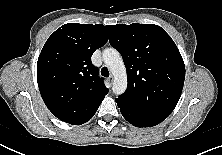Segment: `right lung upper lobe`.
<instances>
[{"label": "right lung upper lobe", "instance_id": "right-lung-upper-lobe-1", "mask_svg": "<svg viewBox=\"0 0 222 155\" xmlns=\"http://www.w3.org/2000/svg\"><path fill=\"white\" fill-rule=\"evenodd\" d=\"M107 26L68 23L46 41L37 62L41 96L54 116L70 124L93 114L108 89L93 66L94 51L108 41Z\"/></svg>", "mask_w": 222, "mask_h": 155}]
</instances>
